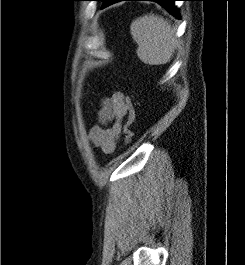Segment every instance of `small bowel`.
Masks as SVG:
<instances>
[{
    "label": "small bowel",
    "mask_w": 245,
    "mask_h": 265,
    "mask_svg": "<svg viewBox=\"0 0 245 265\" xmlns=\"http://www.w3.org/2000/svg\"><path fill=\"white\" fill-rule=\"evenodd\" d=\"M127 111L125 95L122 92L115 91L110 97L102 98L97 112V123L88 134L89 141L103 153H113L116 150L122 121ZM112 120L114 123L108 126Z\"/></svg>",
    "instance_id": "obj_1"
}]
</instances>
